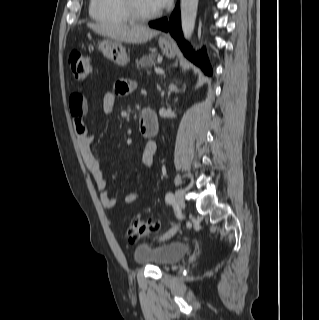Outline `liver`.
<instances>
[{
  "instance_id": "1",
  "label": "liver",
  "mask_w": 319,
  "mask_h": 320,
  "mask_svg": "<svg viewBox=\"0 0 319 320\" xmlns=\"http://www.w3.org/2000/svg\"><path fill=\"white\" fill-rule=\"evenodd\" d=\"M87 26L100 35L130 44L145 43L159 34L143 25L88 23Z\"/></svg>"
}]
</instances>
